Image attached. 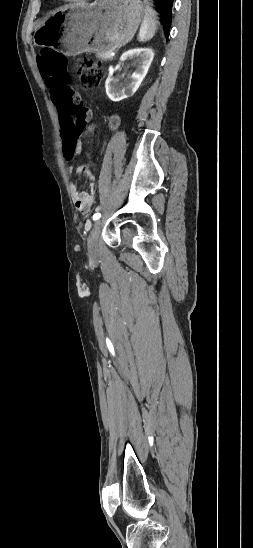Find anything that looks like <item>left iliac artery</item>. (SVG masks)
Returning a JSON list of instances; mask_svg holds the SVG:
<instances>
[{"mask_svg": "<svg viewBox=\"0 0 253 548\" xmlns=\"http://www.w3.org/2000/svg\"><path fill=\"white\" fill-rule=\"evenodd\" d=\"M100 217H101V214H100L99 212H97V213H95V214L93 215L92 218H93V220L95 221V220H98Z\"/></svg>", "mask_w": 253, "mask_h": 548, "instance_id": "obj_1", "label": "left iliac artery"}]
</instances>
